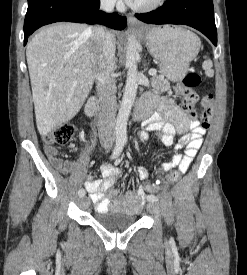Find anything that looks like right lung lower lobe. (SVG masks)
<instances>
[{
  "label": "right lung lower lobe",
  "instance_id": "obj_1",
  "mask_svg": "<svg viewBox=\"0 0 247 275\" xmlns=\"http://www.w3.org/2000/svg\"><path fill=\"white\" fill-rule=\"evenodd\" d=\"M100 0H28L24 21V45L28 36L43 25L60 21L104 24L122 30L126 18L117 13L106 14L99 10Z\"/></svg>",
  "mask_w": 247,
  "mask_h": 275
}]
</instances>
